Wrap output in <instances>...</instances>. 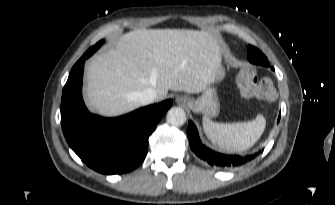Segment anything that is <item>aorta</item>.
Instances as JSON below:
<instances>
[{
	"mask_svg": "<svg viewBox=\"0 0 335 205\" xmlns=\"http://www.w3.org/2000/svg\"><path fill=\"white\" fill-rule=\"evenodd\" d=\"M186 113L182 108L172 107L167 112V122L173 126H181L186 122Z\"/></svg>",
	"mask_w": 335,
	"mask_h": 205,
	"instance_id": "1",
	"label": "aorta"
}]
</instances>
